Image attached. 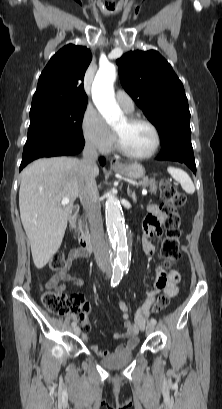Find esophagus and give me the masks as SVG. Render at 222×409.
Instances as JSON below:
<instances>
[{
  "instance_id": "esophagus-1",
  "label": "esophagus",
  "mask_w": 222,
  "mask_h": 409,
  "mask_svg": "<svg viewBox=\"0 0 222 409\" xmlns=\"http://www.w3.org/2000/svg\"><path fill=\"white\" fill-rule=\"evenodd\" d=\"M110 165H111V167H114V168H118V167L122 166V164H121V162H120V160L118 158H112L110 160Z\"/></svg>"
}]
</instances>
